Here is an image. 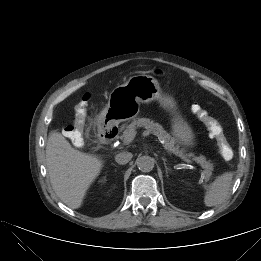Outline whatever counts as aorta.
Returning a JSON list of instances; mask_svg holds the SVG:
<instances>
[{"instance_id": "aorta-1", "label": "aorta", "mask_w": 261, "mask_h": 261, "mask_svg": "<svg viewBox=\"0 0 261 261\" xmlns=\"http://www.w3.org/2000/svg\"><path fill=\"white\" fill-rule=\"evenodd\" d=\"M136 164L140 171L150 172L154 168L155 160L148 155H143L137 158Z\"/></svg>"}]
</instances>
